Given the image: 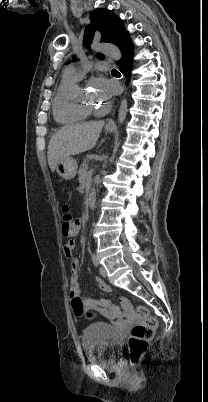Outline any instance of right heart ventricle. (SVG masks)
<instances>
[{
    "label": "right heart ventricle",
    "instance_id": "1",
    "mask_svg": "<svg viewBox=\"0 0 208 402\" xmlns=\"http://www.w3.org/2000/svg\"><path fill=\"white\" fill-rule=\"evenodd\" d=\"M76 79L64 74L52 100V114L55 121L62 126H78L86 123L89 115L76 112L71 106V96L78 87Z\"/></svg>",
    "mask_w": 208,
    "mask_h": 402
}]
</instances>
